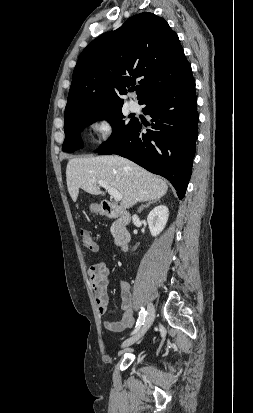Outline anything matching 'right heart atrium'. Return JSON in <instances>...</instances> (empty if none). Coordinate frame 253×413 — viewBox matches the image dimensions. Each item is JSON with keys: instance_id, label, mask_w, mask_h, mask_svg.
<instances>
[{"instance_id": "1", "label": "right heart atrium", "mask_w": 253, "mask_h": 413, "mask_svg": "<svg viewBox=\"0 0 253 413\" xmlns=\"http://www.w3.org/2000/svg\"><path fill=\"white\" fill-rule=\"evenodd\" d=\"M90 128L94 134V143L103 145L113 136L115 128L114 118L108 113L98 114L91 121Z\"/></svg>"}]
</instances>
